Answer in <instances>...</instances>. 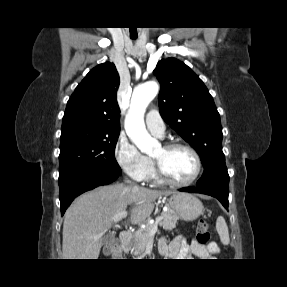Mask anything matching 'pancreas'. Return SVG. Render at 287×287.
I'll return each instance as SVG.
<instances>
[{"label": "pancreas", "instance_id": "1", "mask_svg": "<svg viewBox=\"0 0 287 287\" xmlns=\"http://www.w3.org/2000/svg\"><path fill=\"white\" fill-rule=\"evenodd\" d=\"M163 216V220L160 222V226H162L165 230H173L177 224V216L176 214L168 209L167 211H163L161 213ZM152 224L147 223L144 229H139L135 232V252L142 253L144 252L147 243L152 239V235L149 234L150 229L152 228Z\"/></svg>", "mask_w": 287, "mask_h": 287}]
</instances>
